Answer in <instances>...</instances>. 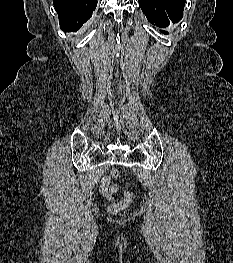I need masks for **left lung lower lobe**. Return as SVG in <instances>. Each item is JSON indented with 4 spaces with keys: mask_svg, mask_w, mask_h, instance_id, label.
I'll use <instances>...</instances> for the list:
<instances>
[{
    "mask_svg": "<svg viewBox=\"0 0 233 263\" xmlns=\"http://www.w3.org/2000/svg\"><path fill=\"white\" fill-rule=\"evenodd\" d=\"M139 5L151 24L167 27L170 22L177 23L183 16L186 0H138ZM164 34L167 32L162 31Z\"/></svg>",
    "mask_w": 233,
    "mask_h": 263,
    "instance_id": "1",
    "label": "left lung lower lobe"
}]
</instances>
